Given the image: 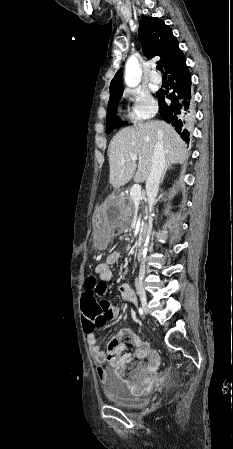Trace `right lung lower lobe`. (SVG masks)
Listing matches in <instances>:
<instances>
[{
  "label": "right lung lower lobe",
  "instance_id": "98d812e1",
  "mask_svg": "<svg viewBox=\"0 0 233 449\" xmlns=\"http://www.w3.org/2000/svg\"><path fill=\"white\" fill-rule=\"evenodd\" d=\"M168 81L172 92L167 96L170 102L164 101L168 92H158L159 112L162 118L171 123L182 139L188 143L191 134L190 124L193 118V102L191 97V76L186 60L168 72Z\"/></svg>",
  "mask_w": 233,
  "mask_h": 449
}]
</instances>
